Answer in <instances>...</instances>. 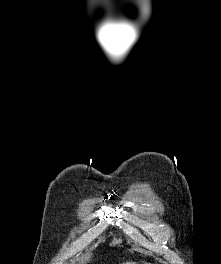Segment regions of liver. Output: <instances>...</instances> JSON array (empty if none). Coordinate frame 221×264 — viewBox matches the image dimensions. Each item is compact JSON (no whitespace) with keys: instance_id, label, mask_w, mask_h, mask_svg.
I'll list each match as a JSON object with an SVG mask.
<instances>
[{"instance_id":"obj_1","label":"liver","mask_w":221,"mask_h":264,"mask_svg":"<svg viewBox=\"0 0 221 264\" xmlns=\"http://www.w3.org/2000/svg\"><path fill=\"white\" fill-rule=\"evenodd\" d=\"M126 264H135V263H126Z\"/></svg>"}]
</instances>
